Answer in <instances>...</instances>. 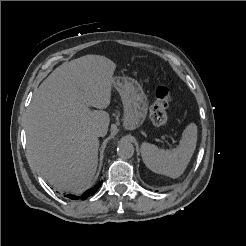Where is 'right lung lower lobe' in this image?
Wrapping results in <instances>:
<instances>
[{"mask_svg":"<svg viewBox=\"0 0 246 246\" xmlns=\"http://www.w3.org/2000/svg\"><path fill=\"white\" fill-rule=\"evenodd\" d=\"M102 182L98 183L95 187L87 190L86 192H84L82 195L80 196H75V195H71V194H67L65 195V197L72 199V200H85L88 197L94 195L96 193V191L99 189V187L101 186Z\"/></svg>","mask_w":246,"mask_h":246,"instance_id":"98d812e1","label":"right lung lower lobe"}]
</instances>
